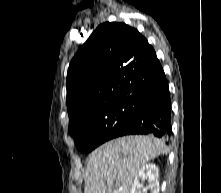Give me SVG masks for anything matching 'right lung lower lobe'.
<instances>
[{
  "label": "right lung lower lobe",
  "instance_id": "1",
  "mask_svg": "<svg viewBox=\"0 0 221 193\" xmlns=\"http://www.w3.org/2000/svg\"><path fill=\"white\" fill-rule=\"evenodd\" d=\"M139 100L136 115L113 138L130 134H152L168 140L171 136V100L163 69Z\"/></svg>",
  "mask_w": 221,
  "mask_h": 193
}]
</instances>
